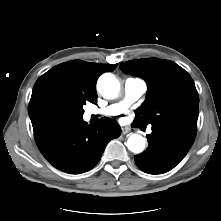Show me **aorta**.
I'll use <instances>...</instances> for the list:
<instances>
[{
	"label": "aorta",
	"mask_w": 221,
	"mask_h": 221,
	"mask_svg": "<svg viewBox=\"0 0 221 221\" xmlns=\"http://www.w3.org/2000/svg\"><path fill=\"white\" fill-rule=\"evenodd\" d=\"M97 88L106 99H114L120 91V83L111 73L101 75L97 82ZM127 147L131 152L141 153L145 148V139L139 134H132L127 140Z\"/></svg>",
	"instance_id": "aorta-1"
}]
</instances>
